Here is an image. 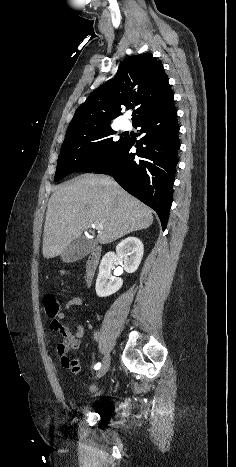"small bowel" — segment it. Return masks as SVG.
<instances>
[{
  "instance_id": "obj_1",
  "label": "small bowel",
  "mask_w": 236,
  "mask_h": 467,
  "mask_svg": "<svg viewBox=\"0 0 236 467\" xmlns=\"http://www.w3.org/2000/svg\"><path fill=\"white\" fill-rule=\"evenodd\" d=\"M83 304V300L78 295H73L67 301L65 305L66 310H71L75 307H80ZM65 318V313L60 312L56 318L50 321V328L56 332H59L63 337V342L58 344L57 353L60 359V363L63 368L71 371L73 374H79L81 367L79 363L70 357L71 351L77 350L80 347L81 339L84 336L85 328L84 325L79 323L75 330L72 331L67 326L61 323V320ZM93 392H98L96 387H91Z\"/></svg>"
}]
</instances>
